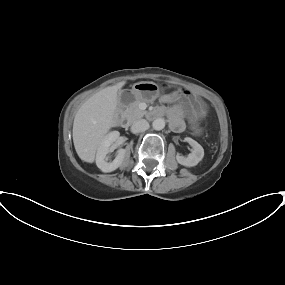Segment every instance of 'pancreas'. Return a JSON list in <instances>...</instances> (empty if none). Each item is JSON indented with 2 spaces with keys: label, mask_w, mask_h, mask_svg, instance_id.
Listing matches in <instances>:
<instances>
[{
  "label": "pancreas",
  "mask_w": 285,
  "mask_h": 285,
  "mask_svg": "<svg viewBox=\"0 0 285 285\" xmlns=\"http://www.w3.org/2000/svg\"><path fill=\"white\" fill-rule=\"evenodd\" d=\"M142 102L143 100H135L126 108L125 114L129 121L138 120L142 118L144 115H146L147 112L139 108V105Z\"/></svg>",
  "instance_id": "obj_1"
}]
</instances>
